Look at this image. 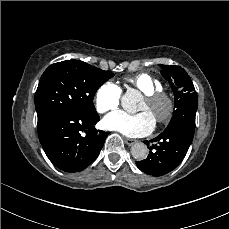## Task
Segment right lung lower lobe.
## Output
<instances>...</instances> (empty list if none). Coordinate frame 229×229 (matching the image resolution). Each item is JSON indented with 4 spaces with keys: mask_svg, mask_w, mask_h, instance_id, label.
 <instances>
[{
    "mask_svg": "<svg viewBox=\"0 0 229 229\" xmlns=\"http://www.w3.org/2000/svg\"><path fill=\"white\" fill-rule=\"evenodd\" d=\"M99 119L63 112L38 130L40 143L53 165L66 172H77L91 164L109 134L94 128Z\"/></svg>",
    "mask_w": 229,
    "mask_h": 229,
    "instance_id": "right-lung-lower-lobe-1",
    "label": "right lung lower lobe"
}]
</instances>
